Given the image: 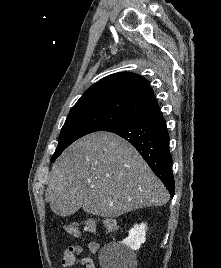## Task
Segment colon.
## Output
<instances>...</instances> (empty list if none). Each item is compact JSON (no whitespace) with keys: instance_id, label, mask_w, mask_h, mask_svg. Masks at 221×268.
<instances>
[{"instance_id":"1","label":"colon","mask_w":221,"mask_h":268,"mask_svg":"<svg viewBox=\"0 0 221 268\" xmlns=\"http://www.w3.org/2000/svg\"><path fill=\"white\" fill-rule=\"evenodd\" d=\"M106 230L114 232L118 229V222L114 219L105 218L101 220ZM97 220L87 219L82 224V229L85 233L93 234L96 230ZM65 231L72 237L79 238L82 236L81 227L77 223H69L64 225Z\"/></svg>"}]
</instances>
